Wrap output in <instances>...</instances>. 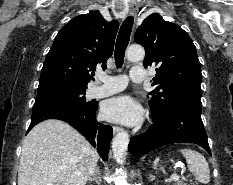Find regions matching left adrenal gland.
Masks as SVG:
<instances>
[{"mask_svg": "<svg viewBox=\"0 0 233 185\" xmlns=\"http://www.w3.org/2000/svg\"><path fill=\"white\" fill-rule=\"evenodd\" d=\"M149 178H150V181H152L154 179V176H152L151 174H149Z\"/></svg>", "mask_w": 233, "mask_h": 185, "instance_id": "left-adrenal-gland-1", "label": "left adrenal gland"}]
</instances>
